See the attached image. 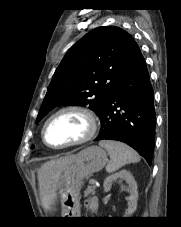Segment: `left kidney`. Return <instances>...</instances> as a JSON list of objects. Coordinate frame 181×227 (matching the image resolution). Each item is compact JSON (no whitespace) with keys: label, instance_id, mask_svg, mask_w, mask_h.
<instances>
[{"label":"left kidney","instance_id":"5707ae66","mask_svg":"<svg viewBox=\"0 0 181 227\" xmlns=\"http://www.w3.org/2000/svg\"><path fill=\"white\" fill-rule=\"evenodd\" d=\"M117 179L124 180L129 186V197H128V209L127 216L132 215L137 209V200H138V191H137V183L132 176V174L127 170H121L115 174L108 176L104 181V190L106 192L110 191L113 182Z\"/></svg>","mask_w":181,"mask_h":227}]
</instances>
